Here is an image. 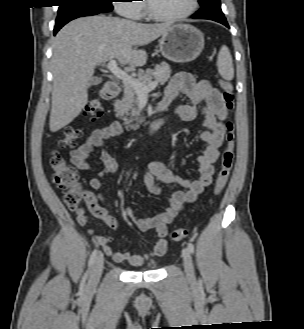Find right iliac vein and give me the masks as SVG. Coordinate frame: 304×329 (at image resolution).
I'll return each mask as SVG.
<instances>
[{"label": "right iliac vein", "instance_id": "63e3f726", "mask_svg": "<svg viewBox=\"0 0 304 329\" xmlns=\"http://www.w3.org/2000/svg\"><path fill=\"white\" fill-rule=\"evenodd\" d=\"M103 271V257L99 256L93 266L91 275H90V284L96 285L99 282V279L101 277Z\"/></svg>", "mask_w": 304, "mask_h": 329}]
</instances>
